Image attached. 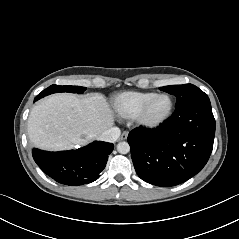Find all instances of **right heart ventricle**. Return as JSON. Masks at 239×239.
Masks as SVG:
<instances>
[{
	"label": "right heart ventricle",
	"instance_id": "right-heart-ventricle-1",
	"mask_svg": "<svg viewBox=\"0 0 239 239\" xmlns=\"http://www.w3.org/2000/svg\"><path fill=\"white\" fill-rule=\"evenodd\" d=\"M153 92L126 91L116 95L112 100V106L116 114L122 118H133L144 104L153 96Z\"/></svg>",
	"mask_w": 239,
	"mask_h": 239
}]
</instances>
